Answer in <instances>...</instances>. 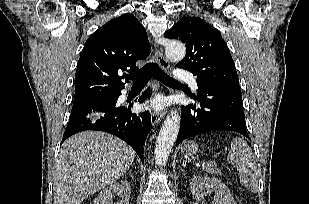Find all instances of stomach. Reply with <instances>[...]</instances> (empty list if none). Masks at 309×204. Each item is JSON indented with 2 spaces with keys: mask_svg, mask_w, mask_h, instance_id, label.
<instances>
[{
  "mask_svg": "<svg viewBox=\"0 0 309 204\" xmlns=\"http://www.w3.org/2000/svg\"><path fill=\"white\" fill-rule=\"evenodd\" d=\"M181 151L186 156L195 155L198 152V145L193 141H187L181 146Z\"/></svg>",
  "mask_w": 309,
  "mask_h": 204,
  "instance_id": "0dacf381",
  "label": "stomach"
}]
</instances>
